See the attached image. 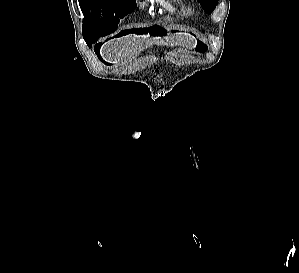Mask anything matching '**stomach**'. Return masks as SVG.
<instances>
[{
    "instance_id": "1",
    "label": "stomach",
    "mask_w": 299,
    "mask_h": 273,
    "mask_svg": "<svg viewBox=\"0 0 299 273\" xmlns=\"http://www.w3.org/2000/svg\"><path fill=\"white\" fill-rule=\"evenodd\" d=\"M199 46H203V48H204L205 45H204L202 42H200V43H199Z\"/></svg>"
}]
</instances>
